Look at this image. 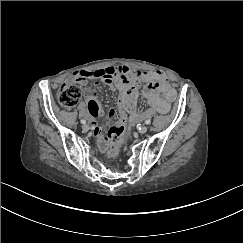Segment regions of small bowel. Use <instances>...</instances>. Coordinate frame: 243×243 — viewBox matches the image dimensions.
<instances>
[{
	"instance_id": "1",
	"label": "small bowel",
	"mask_w": 243,
	"mask_h": 243,
	"mask_svg": "<svg viewBox=\"0 0 243 243\" xmlns=\"http://www.w3.org/2000/svg\"><path fill=\"white\" fill-rule=\"evenodd\" d=\"M136 75L140 77L146 86L143 90V95L147 99L150 106L159 113L166 114L170 110L172 101L176 96L174 88L167 82L166 75L161 71H134L132 72L128 67H107L94 71H80L73 80L79 85H85L90 79H101L106 82L111 88L118 89L121 85L120 79H127V77ZM88 109L93 119L98 120L104 115L95 91L87 92ZM115 111L110 109L108 117L112 118ZM95 134H99L100 127L97 124L93 126Z\"/></svg>"
}]
</instances>
